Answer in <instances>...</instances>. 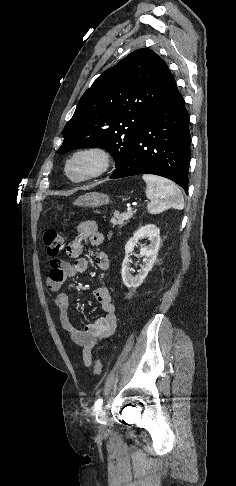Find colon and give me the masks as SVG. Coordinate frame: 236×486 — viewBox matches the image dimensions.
Instances as JSON below:
<instances>
[{
  "instance_id": "obj_1",
  "label": "colon",
  "mask_w": 236,
  "mask_h": 486,
  "mask_svg": "<svg viewBox=\"0 0 236 486\" xmlns=\"http://www.w3.org/2000/svg\"><path fill=\"white\" fill-rule=\"evenodd\" d=\"M47 253L51 257H56L65 247V238L57 230H48L44 235ZM102 363L99 359L94 362L93 373L99 376L102 373Z\"/></svg>"
}]
</instances>
